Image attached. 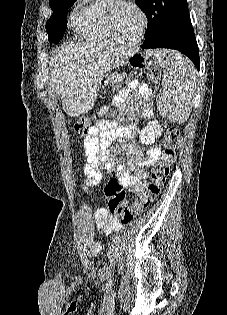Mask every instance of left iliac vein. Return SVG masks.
I'll list each match as a JSON object with an SVG mask.
<instances>
[{"mask_svg": "<svg viewBox=\"0 0 227 315\" xmlns=\"http://www.w3.org/2000/svg\"><path fill=\"white\" fill-rule=\"evenodd\" d=\"M115 251H116V246L113 244L112 247H111V252L115 253Z\"/></svg>", "mask_w": 227, "mask_h": 315, "instance_id": "obj_1", "label": "left iliac vein"}]
</instances>
